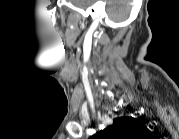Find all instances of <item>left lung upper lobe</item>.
Masks as SVG:
<instances>
[{
  "mask_svg": "<svg viewBox=\"0 0 179 139\" xmlns=\"http://www.w3.org/2000/svg\"><path fill=\"white\" fill-rule=\"evenodd\" d=\"M148 129L132 117L114 119V124L92 136V139H142Z\"/></svg>",
  "mask_w": 179,
  "mask_h": 139,
  "instance_id": "1",
  "label": "left lung upper lobe"
}]
</instances>
